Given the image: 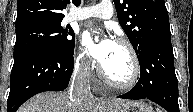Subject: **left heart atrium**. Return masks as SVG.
Returning a JSON list of instances; mask_svg holds the SVG:
<instances>
[{
  "instance_id": "39dd6f15",
  "label": "left heart atrium",
  "mask_w": 193,
  "mask_h": 112,
  "mask_svg": "<svg viewBox=\"0 0 193 112\" xmlns=\"http://www.w3.org/2000/svg\"><path fill=\"white\" fill-rule=\"evenodd\" d=\"M82 44L86 52L95 59L101 66L107 61L115 42L108 37L96 42L93 31H85L82 34Z\"/></svg>"
}]
</instances>
